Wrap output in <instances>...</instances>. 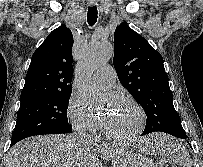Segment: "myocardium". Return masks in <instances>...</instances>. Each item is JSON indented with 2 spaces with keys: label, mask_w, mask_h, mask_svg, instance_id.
I'll return each mask as SVG.
<instances>
[{
  "label": "myocardium",
  "mask_w": 203,
  "mask_h": 167,
  "mask_svg": "<svg viewBox=\"0 0 203 167\" xmlns=\"http://www.w3.org/2000/svg\"><path fill=\"white\" fill-rule=\"evenodd\" d=\"M127 105H129L130 107H132L138 114V125L136 127V129L131 132L128 135L125 136H117L112 134L104 125V123L102 122V120L100 119L99 123H100V128L102 130V133L104 134V136L106 138H108L109 140L115 141V142H119V143H125V142H129L132 141L134 139H136L144 130L145 124H146V114L143 110V108L135 101H133L132 99H130L129 97L123 95V94H117Z\"/></svg>",
  "instance_id": "myocardium-1"
}]
</instances>
